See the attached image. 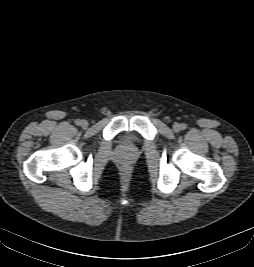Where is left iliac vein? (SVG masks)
<instances>
[{"label":"left iliac vein","mask_w":254,"mask_h":267,"mask_svg":"<svg viewBox=\"0 0 254 267\" xmlns=\"http://www.w3.org/2000/svg\"><path fill=\"white\" fill-rule=\"evenodd\" d=\"M173 130H174L175 132H178V131L180 130V125H179V124H174V125H173Z\"/></svg>","instance_id":"4c4485c4"}]
</instances>
